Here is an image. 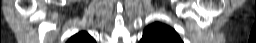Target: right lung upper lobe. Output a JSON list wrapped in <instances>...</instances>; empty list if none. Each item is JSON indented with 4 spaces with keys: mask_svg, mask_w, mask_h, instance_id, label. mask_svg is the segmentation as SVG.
Returning <instances> with one entry per match:
<instances>
[{
    "mask_svg": "<svg viewBox=\"0 0 256 43\" xmlns=\"http://www.w3.org/2000/svg\"><path fill=\"white\" fill-rule=\"evenodd\" d=\"M67 43H95V40L87 32H79L72 36Z\"/></svg>",
    "mask_w": 256,
    "mask_h": 43,
    "instance_id": "1",
    "label": "right lung upper lobe"
}]
</instances>
